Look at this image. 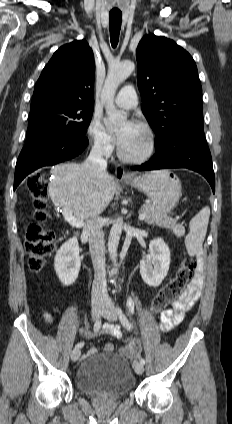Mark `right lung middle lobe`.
Listing matches in <instances>:
<instances>
[{
	"label": "right lung middle lobe",
	"mask_w": 232,
	"mask_h": 424,
	"mask_svg": "<svg viewBox=\"0 0 232 424\" xmlns=\"http://www.w3.org/2000/svg\"><path fill=\"white\" fill-rule=\"evenodd\" d=\"M92 114L93 107L80 105L51 103L31 108L26 137L36 133L84 137Z\"/></svg>",
	"instance_id": "1"
}]
</instances>
